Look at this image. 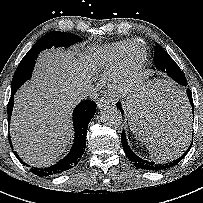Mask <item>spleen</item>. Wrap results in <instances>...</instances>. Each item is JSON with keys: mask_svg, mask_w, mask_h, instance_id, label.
Instances as JSON below:
<instances>
[{"mask_svg": "<svg viewBox=\"0 0 203 203\" xmlns=\"http://www.w3.org/2000/svg\"><path fill=\"white\" fill-rule=\"evenodd\" d=\"M150 86L151 87H148L147 91L144 92L147 104L152 105L161 113L164 112L163 114L172 112L179 115L184 114L186 99L181 89H178L171 82L162 80H158ZM140 114L141 116L144 115L143 111H141ZM187 115H189V112L185 113V116ZM135 134L138 135L139 140L144 142L147 146L151 159L158 162L174 160L181 156L183 151L187 148L190 139L189 131L185 129L180 137L157 148L149 144L146 138L140 133L135 132Z\"/></svg>", "mask_w": 203, "mask_h": 203, "instance_id": "3e777b00", "label": "spleen"}]
</instances>
